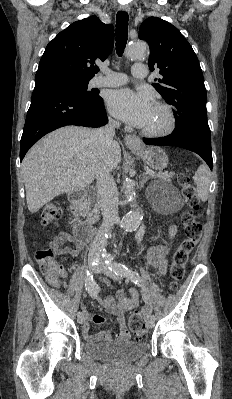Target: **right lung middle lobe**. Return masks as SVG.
I'll list each match as a JSON object with an SVG mask.
<instances>
[{"mask_svg":"<svg viewBox=\"0 0 232 399\" xmlns=\"http://www.w3.org/2000/svg\"><path fill=\"white\" fill-rule=\"evenodd\" d=\"M59 80L63 84L72 86L76 88L80 94L84 97L87 98H94L97 97L98 92L94 91H87L88 83L90 79H78V78H61V79H55Z\"/></svg>","mask_w":232,"mask_h":399,"instance_id":"1","label":"right lung middle lobe"}]
</instances>
